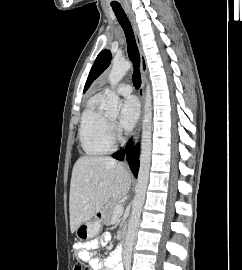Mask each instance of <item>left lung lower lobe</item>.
I'll return each mask as SVG.
<instances>
[{
	"mask_svg": "<svg viewBox=\"0 0 242 270\" xmlns=\"http://www.w3.org/2000/svg\"><path fill=\"white\" fill-rule=\"evenodd\" d=\"M114 158L118 160H122L124 158V150H120L112 155Z\"/></svg>",
	"mask_w": 242,
	"mask_h": 270,
	"instance_id": "1",
	"label": "left lung lower lobe"
}]
</instances>
